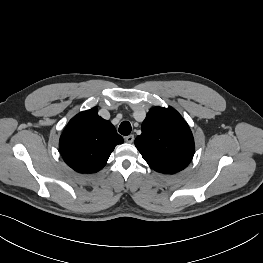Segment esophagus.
<instances>
[{
    "label": "esophagus",
    "mask_w": 263,
    "mask_h": 263,
    "mask_svg": "<svg viewBox=\"0 0 263 263\" xmlns=\"http://www.w3.org/2000/svg\"><path fill=\"white\" fill-rule=\"evenodd\" d=\"M125 141H126L127 143H132V142L134 141V135L131 134V135L126 136V137H125Z\"/></svg>",
    "instance_id": "obj_1"
}]
</instances>
